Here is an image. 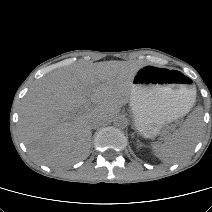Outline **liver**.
<instances>
[{
    "label": "liver",
    "mask_w": 212,
    "mask_h": 212,
    "mask_svg": "<svg viewBox=\"0 0 212 212\" xmlns=\"http://www.w3.org/2000/svg\"><path fill=\"white\" fill-rule=\"evenodd\" d=\"M141 65L125 61L75 63L41 78L20 107L19 134L31 156L47 166L86 158L91 121H105L130 101ZM90 100L95 106L76 109Z\"/></svg>",
    "instance_id": "liver-1"
}]
</instances>
